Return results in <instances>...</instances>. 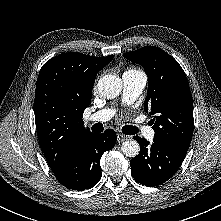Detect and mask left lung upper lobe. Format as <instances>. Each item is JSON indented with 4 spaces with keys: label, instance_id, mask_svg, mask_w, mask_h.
Segmentation results:
<instances>
[{
    "label": "left lung upper lobe",
    "instance_id": "left-lung-upper-lobe-1",
    "mask_svg": "<svg viewBox=\"0 0 221 221\" xmlns=\"http://www.w3.org/2000/svg\"><path fill=\"white\" fill-rule=\"evenodd\" d=\"M123 56L143 66L148 74L144 109L153 117L154 140L188 150L193 135V101L182 67L154 46L126 52Z\"/></svg>",
    "mask_w": 221,
    "mask_h": 221
}]
</instances>
